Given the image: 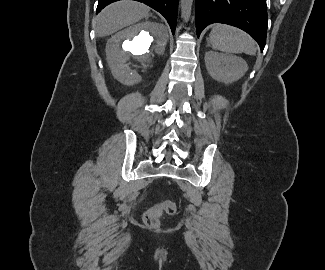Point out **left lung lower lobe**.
Masks as SVG:
<instances>
[{
	"mask_svg": "<svg viewBox=\"0 0 325 270\" xmlns=\"http://www.w3.org/2000/svg\"><path fill=\"white\" fill-rule=\"evenodd\" d=\"M266 0H196V32L212 23L238 27L250 34L260 45L266 44Z\"/></svg>",
	"mask_w": 325,
	"mask_h": 270,
	"instance_id": "obj_1",
	"label": "left lung lower lobe"
}]
</instances>
